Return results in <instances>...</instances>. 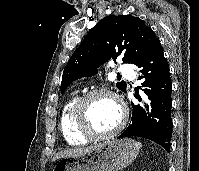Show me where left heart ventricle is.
<instances>
[{
  "instance_id": "1",
  "label": "left heart ventricle",
  "mask_w": 199,
  "mask_h": 171,
  "mask_svg": "<svg viewBox=\"0 0 199 171\" xmlns=\"http://www.w3.org/2000/svg\"><path fill=\"white\" fill-rule=\"evenodd\" d=\"M88 115L93 130L105 133L118 125L121 112L113 99L108 96H97L89 102Z\"/></svg>"
}]
</instances>
